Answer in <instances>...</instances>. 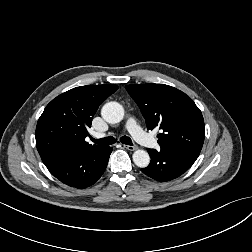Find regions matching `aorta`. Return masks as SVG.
Here are the masks:
<instances>
[{
	"mask_svg": "<svg viewBox=\"0 0 252 252\" xmlns=\"http://www.w3.org/2000/svg\"><path fill=\"white\" fill-rule=\"evenodd\" d=\"M101 115L103 119L111 124L120 122L124 117V109L121 104L118 102H108L106 103L101 110ZM133 161L136 166L140 168H145L150 163V156L144 150H136L133 153Z\"/></svg>",
	"mask_w": 252,
	"mask_h": 252,
	"instance_id": "obj_1",
	"label": "aorta"
}]
</instances>
